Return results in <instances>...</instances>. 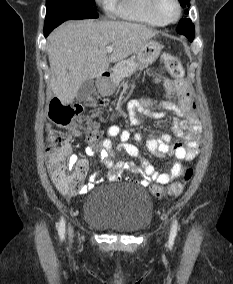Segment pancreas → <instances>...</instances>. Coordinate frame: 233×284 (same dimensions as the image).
Listing matches in <instances>:
<instances>
[{
  "mask_svg": "<svg viewBox=\"0 0 233 284\" xmlns=\"http://www.w3.org/2000/svg\"><path fill=\"white\" fill-rule=\"evenodd\" d=\"M138 68V64L133 58L123 60L115 66L114 73L117 81L124 79L132 75L135 70Z\"/></svg>",
  "mask_w": 233,
  "mask_h": 284,
  "instance_id": "cf45deb5",
  "label": "pancreas"
}]
</instances>
